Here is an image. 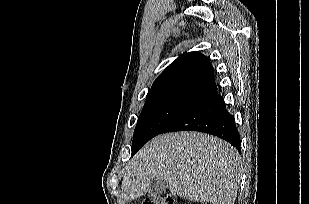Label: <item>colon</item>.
Masks as SVG:
<instances>
[{"instance_id":"obj_1","label":"colon","mask_w":309,"mask_h":204,"mask_svg":"<svg viewBox=\"0 0 309 204\" xmlns=\"http://www.w3.org/2000/svg\"><path fill=\"white\" fill-rule=\"evenodd\" d=\"M142 204H175V199L171 195H155L146 198Z\"/></svg>"}]
</instances>
